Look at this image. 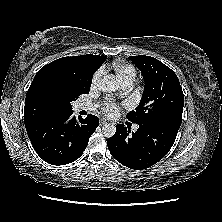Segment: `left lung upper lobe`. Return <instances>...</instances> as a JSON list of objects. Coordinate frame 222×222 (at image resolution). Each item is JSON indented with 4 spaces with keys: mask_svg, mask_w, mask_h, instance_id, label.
<instances>
[{
    "mask_svg": "<svg viewBox=\"0 0 222 222\" xmlns=\"http://www.w3.org/2000/svg\"><path fill=\"white\" fill-rule=\"evenodd\" d=\"M129 59L141 70L145 88L140 104L127 114V119L137 124L160 119L182 122L184 94L174 71L154 57L138 55Z\"/></svg>",
    "mask_w": 222,
    "mask_h": 222,
    "instance_id": "1",
    "label": "left lung upper lobe"
}]
</instances>
